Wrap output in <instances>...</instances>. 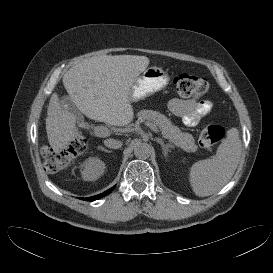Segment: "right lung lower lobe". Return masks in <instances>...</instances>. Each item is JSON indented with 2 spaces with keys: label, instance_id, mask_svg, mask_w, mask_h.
<instances>
[{
  "label": "right lung lower lobe",
  "instance_id": "98d812e1",
  "mask_svg": "<svg viewBox=\"0 0 273 273\" xmlns=\"http://www.w3.org/2000/svg\"><path fill=\"white\" fill-rule=\"evenodd\" d=\"M113 189H114V187H112L111 189L105 191L102 194H99V195H96V196H92V197H89V198H82V199L86 200V201H94V200L100 199V198L108 195Z\"/></svg>",
  "mask_w": 273,
  "mask_h": 273
}]
</instances>
